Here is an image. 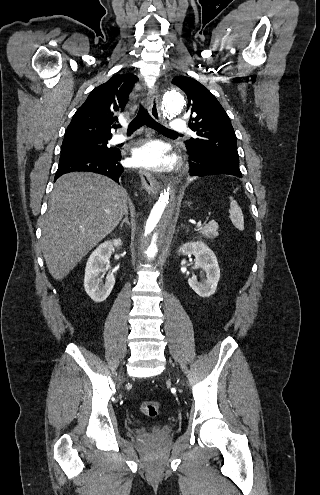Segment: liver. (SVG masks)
Returning <instances> with one entry per match:
<instances>
[{"label": "liver", "mask_w": 320, "mask_h": 495, "mask_svg": "<svg viewBox=\"0 0 320 495\" xmlns=\"http://www.w3.org/2000/svg\"><path fill=\"white\" fill-rule=\"evenodd\" d=\"M128 211L124 189L92 173L63 174L43 218L41 248L52 277L61 280Z\"/></svg>", "instance_id": "6515ba94"}]
</instances>
